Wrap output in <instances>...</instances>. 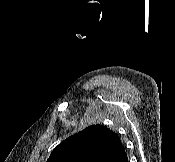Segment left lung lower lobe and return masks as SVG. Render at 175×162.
<instances>
[{"instance_id":"left-lung-lower-lobe-1","label":"left lung lower lobe","mask_w":175,"mask_h":162,"mask_svg":"<svg viewBox=\"0 0 175 162\" xmlns=\"http://www.w3.org/2000/svg\"><path fill=\"white\" fill-rule=\"evenodd\" d=\"M105 162H128L124 147L121 144L117 146Z\"/></svg>"}]
</instances>
